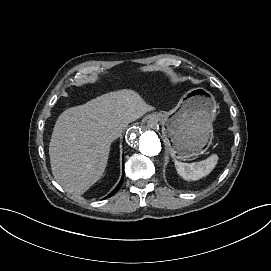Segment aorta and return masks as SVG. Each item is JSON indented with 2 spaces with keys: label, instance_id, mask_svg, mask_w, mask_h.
<instances>
[{
  "label": "aorta",
  "instance_id": "1",
  "mask_svg": "<svg viewBox=\"0 0 271 271\" xmlns=\"http://www.w3.org/2000/svg\"><path fill=\"white\" fill-rule=\"evenodd\" d=\"M129 147L139 150L142 154L153 157L161 151V141L158 135L143 126H133L126 134Z\"/></svg>",
  "mask_w": 271,
  "mask_h": 271
}]
</instances>
